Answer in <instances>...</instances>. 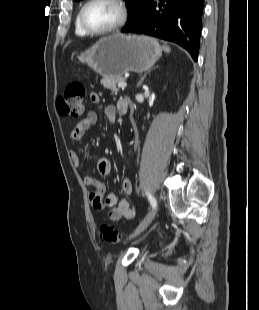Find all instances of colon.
Instances as JSON below:
<instances>
[{"label": "colon", "mask_w": 259, "mask_h": 310, "mask_svg": "<svg viewBox=\"0 0 259 310\" xmlns=\"http://www.w3.org/2000/svg\"><path fill=\"white\" fill-rule=\"evenodd\" d=\"M86 89L80 82H70L57 99V106L61 113L71 116H79L84 111ZM100 237L109 243L121 242L124 235L114 226L103 224L100 227Z\"/></svg>", "instance_id": "colon-1"}]
</instances>
